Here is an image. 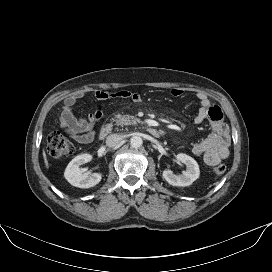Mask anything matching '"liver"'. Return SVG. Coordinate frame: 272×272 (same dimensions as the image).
<instances>
[{"label":"liver","mask_w":272,"mask_h":272,"mask_svg":"<svg viewBox=\"0 0 272 272\" xmlns=\"http://www.w3.org/2000/svg\"><path fill=\"white\" fill-rule=\"evenodd\" d=\"M42 154H43V159H44L45 166L48 169L49 168V164H48V160H47L46 153H45L44 150H43Z\"/></svg>","instance_id":"obj_1"}]
</instances>
